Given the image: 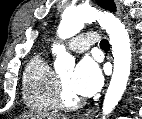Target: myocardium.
<instances>
[{
  "label": "myocardium",
  "instance_id": "obj_1",
  "mask_svg": "<svg viewBox=\"0 0 142 119\" xmlns=\"http://www.w3.org/2000/svg\"><path fill=\"white\" fill-rule=\"evenodd\" d=\"M56 104L57 107L64 110H74L83 104V100L78 97H70L67 93L60 77H57L56 84Z\"/></svg>",
  "mask_w": 142,
  "mask_h": 119
}]
</instances>
